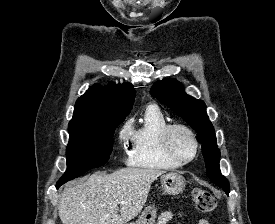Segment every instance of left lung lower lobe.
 Segmentation results:
<instances>
[{
  "label": "left lung lower lobe",
  "instance_id": "left-lung-lower-lobe-1",
  "mask_svg": "<svg viewBox=\"0 0 275 224\" xmlns=\"http://www.w3.org/2000/svg\"><path fill=\"white\" fill-rule=\"evenodd\" d=\"M227 195H229V190L225 191Z\"/></svg>",
  "mask_w": 275,
  "mask_h": 224
}]
</instances>
